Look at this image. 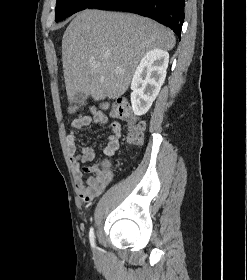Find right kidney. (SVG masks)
Here are the masks:
<instances>
[{
	"label": "right kidney",
	"instance_id": "1",
	"mask_svg": "<svg viewBox=\"0 0 247 280\" xmlns=\"http://www.w3.org/2000/svg\"><path fill=\"white\" fill-rule=\"evenodd\" d=\"M169 54L158 48L145 53L131 82V104L135 115L145 114L156 99L166 77Z\"/></svg>",
	"mask_w": 247,
	"mask_h": 280
}]
</instances>
